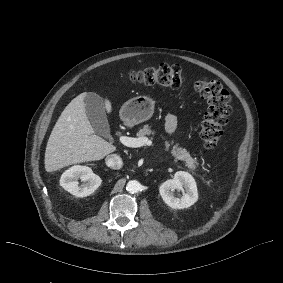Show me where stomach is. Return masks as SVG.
<instances>
[{"instance_id":"obj_1","label":"stomach","mask_w":283,"mask_h":283,"mask_svg":"<svg viewBox=\"0 0 283 283\" xmlns=\"http://www.w3.org/2000/svg\"><path fill=\"white\" fill-rule=\"evenodd\" d=\"M154 106L155 101L149 97L137 96L122 106L120 116L128 125H135L150 119Z\"/></svg>"}]
</instances>
